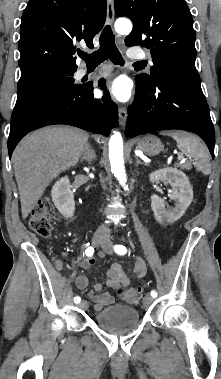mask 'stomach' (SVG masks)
I'll return each mask as SVG.
<instances>
[{"instance_id": "1", "label": "stomach", "mask_w": 221, "mask_h": 379, "mask_svg": "<svg viewBox=\"0 0 221 379\" xmlns=\"http://www.w3.org/2000/svg\"><path fill=\"white\" fill-rule=\"evenodd\" d=\"M136 148L144 152L146 155L154 156L163 149V146L157 137L146 136L138 141Z\"/></svg>"}]
</instances>
